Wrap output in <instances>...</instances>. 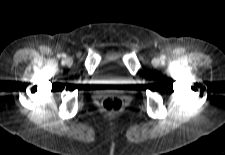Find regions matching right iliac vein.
<instances>
[{
  "instance_id": "right-iliac-vein-1",
  "label": "right iliac vein",
  "mask_w": 225,
  "mask_h": 155,
  "mask_svg": "<svg viewBox=\"0 0 225 155\" xmlns=\"http://www.w3.org/2000/svg\"><path fill=\"white\" fill-rule=\"evenodd\" d=\"M65 62L67 65H71L73 63V60H72V58L68 57L65 59Z\"/></svg>"
}]
</instances>
